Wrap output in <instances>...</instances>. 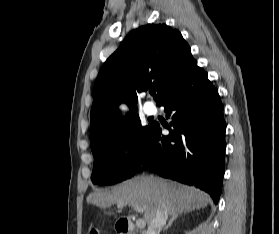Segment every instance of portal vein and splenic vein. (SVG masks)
Wrapping results in <instances>:
<instances>
[{"label":"portal vein and splenic vein","mask_w":279,"mask_h":234,"mask_svg":"<svg viewBox=\"0 0 279 234\" xmlns=\"http://www.w3.org/2000/svg\"><path fill=\"white\" fill-rule=\"evenodd\" d=\"M118 206H119L120 208H122V207L124 206V204H119ZM133 208H134L135 211H137V212H139V213H142V212H143L142 207H140V206H138V205L133 206ZM145 225H146V222H145L144 219H138V220L136 221V226H137L138 228H143V227H145Z\"/></svg>","instance_id":"portal-vein-and-splenic-vein-1"}]
</instances>
